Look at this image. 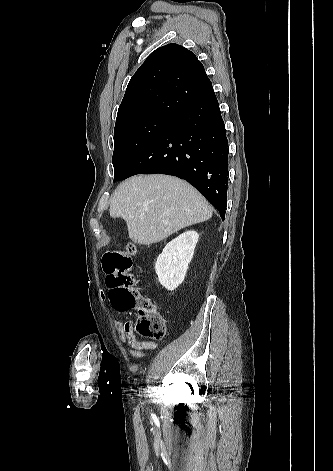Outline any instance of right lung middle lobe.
<instances>
[{"instance_id": "right-lung-middle-lobe-1", "label": "right lung middle lobe", "mask_w": 333, "mask_h": 471, "mask_svg": "<svg viewBox=\"0 0 333 471\" xmlns=\"http://www.w3.org/2000/svg\"><path fill=\"white\" fill-rule=\"evenodd\" d=\"M162 113L133 114L116 120L114 130V182L117 181L143 149L174 120Z\"/></svg>"}]
</instances>
